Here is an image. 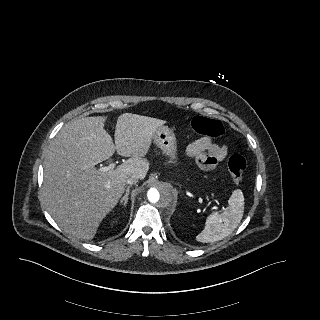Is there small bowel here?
<instances>
[{
	"mask_svg": "<svg viewBox=\"0 0 320 320\" xmlns=\"http://www.w3.org/2000/svg\"><path fill=\"white\" fill-rule=\"evenodd\" d=\"M227 154V147L215 143L210 137L199 138L186 148V155L196 158L199 166L206 171L215 169Z\"/></svg>",
	"mask_w": 320,
	"mask_h": 320,
	"instance_id": "1",
	"label": "small bowel"
}]
</instances>
